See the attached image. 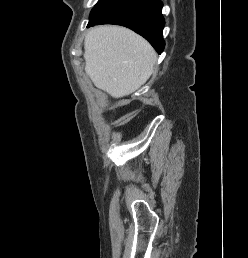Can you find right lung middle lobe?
<instances>
[{"label": "right lung middle lobe", "mask_w": 248, "mask_h": 258, "mask_svg": "<svg viewBox=\"0 0 248 258\" xmlns=\"http://www.w3.org/2000/svg\"><path fill=\"white\" fill-rule=\"evenodd\" d=\"M118 0H99L90 14V21L97 19L110 9Z\"/></svg>", "instance_id": "1"}]
</instances>
